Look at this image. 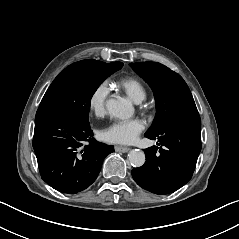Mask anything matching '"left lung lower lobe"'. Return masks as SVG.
Wrapping results in <instances>:
<instances>
[{
    "instance_id": "obj_1",
    "label": "left lung lower lobe",
    "mask_w": 239,
    "mask_h": 239,
    "mask_svg": "<svg viewBox=\"0 0 239 239\" xmlns=\"http://www.w3.org/2000/svg\"><path fill=\"white\" fill-rule=\"evenodd\" d=\"M200 130L199 114L189 113L173 118L156 134H145L157 139L159 147L144 150L145 164L132 170L135 182L155 194H169L184 186L201 151Z\"/></svg>"
}]
</instances>
